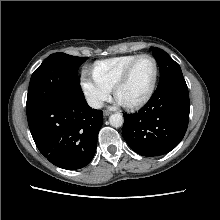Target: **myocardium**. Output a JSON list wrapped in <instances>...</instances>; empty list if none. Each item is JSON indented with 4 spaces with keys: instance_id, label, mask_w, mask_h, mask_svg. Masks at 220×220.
Returning <instances> with one entry per match:
<instances>
[{
    "instance_id": "myocardium-1",
    "label": "myocardium",
    "mask_w": 220,
    "mask_h": 220,
    "mask_svg": "<svg viewBox=\"0 0 220 220\" xmlns=\"http://www.w3.org/2000/svg\"><path fill=\"white\" fill-rule=\"evenodd\" d=\"M142 58H150L153 61L154 66H155V75H154V79H153V83L151 85V88L149 89V91L145 95V97H143L141 100L134 102V103H130V104L123 103L127 108H130V109H138V108L143 107L151 100L152 96L154 95L156 87H157L158 79H159V64H158L156 58L150 54L139 55L137 58H135L128 65L126 70L123 72V74L120 76V78L117 80V82L115 83V85L113 87L114 96L117 98L118 91L128 81L134 67Z\"/></svg>"
}]
</instances>
